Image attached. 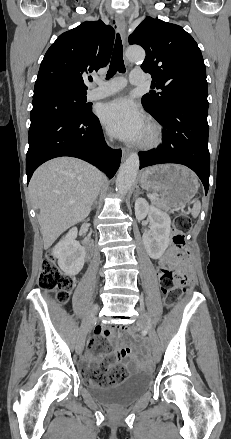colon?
Here are the masks:
<instances>
[{
  "label": "colon",
  "mask_w": 231,
  "mask_h": 439,
  "mask_svg": "<svg viewBox=\"0 0 231 439\" xmlns=\"http://www.w3.org/2000/svg\"><path fill=\"white\" fill-rule=\"evenodd\" d=\"M191 228V219L187 213H179L174 219V233L172 243L177 249L176 260L169 264H163L159 267L158 275L162 289L166 295L168 305L177 302L181 288L190 284V275L182 267L175 268V265L184 261L188 257L186 249L185 233ZM41 289L47 292H53L59 302H66L69 298L70 291L73 287V279L63 274L51 253L43 261L41 273L38 279ZM118 332H127L135 334V329L131 326H123L117 329ZM91 347L101 353L108 351V346L101 338H92ZM127 376V370L120 366L114 365L107 370L101 368L92 369V381L100 386H112L122 382Z\"/></svg>",
  "instance_id": "1"
}]
</instances>
